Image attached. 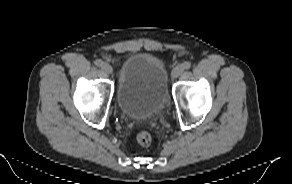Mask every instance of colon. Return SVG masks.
Returning <instances> with one entry per match:
<instances>
[{
	"label": "colon",
	"instance_id": "colon-1",
	"mask_svg": "<svg viewBox=\"0 0 292 184\" xmlns=\"http://www.w3.org/2000/svg\"><path fill=\"white\" fill-rule=\"evenodd\" d=\"M151 141H152V137L150 133L146 131H142L137 135V142L142 146L150 145Z\"/></svg>",
	"mask_w": 292,
	"mask_h": 184
}]
</instances>
